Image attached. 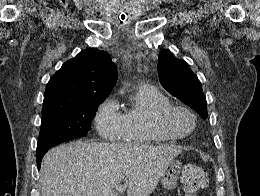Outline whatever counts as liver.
Here are the masks:
<instances>
[{"label":"liver","mask_w":260,"mask_h":196,"mask_svg":"<svg viewBox=\"0 0 260 196\" xmlns=\"http://www.w3.org/2000/svg\"><path fill=\"white\" fill-rule=\"evenodd\" d=\"M181 146L71 142L47 152L40 170L42 196H116L127 178V196H150Z\"/></svg>","instance_id":"1"}]
</instances>
